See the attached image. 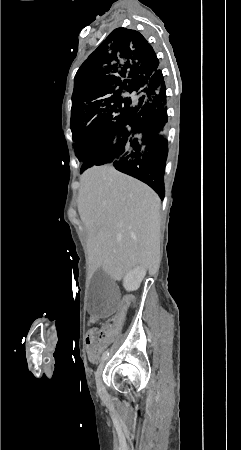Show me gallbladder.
<instances>
[{
  "mask_svg": "<svg viewBox=\"0 0 241 450\" xmlns=\"http://www.w3.org/2000/svg\"><path fill=\"white\" fill-rule=\"evenodd\" d=\"M119 308V293L112 275L96 270L88 288L86 310L98 319H109Z\"/></svg>",
  "mask_w": 241,
  "mask_h": 450,
  "instance_id": "1",
  "label": "gallbladder"
}]
</instances>
